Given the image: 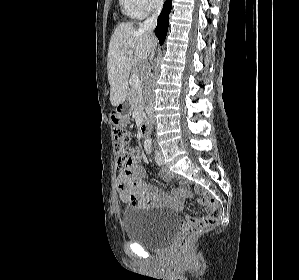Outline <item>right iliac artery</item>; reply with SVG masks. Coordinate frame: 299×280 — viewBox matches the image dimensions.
I'll return each instance as SVG.
<instances>
[{"label":"right iliac artery","mask_w":299,"mask_h":280,"mask_svg":"<svg viewBox=\"0 0 299 280\" xmlns=\"http://www.w3.org/2000/svg\"><path fill=\"white\" fill-rule=\"evenodd\" d=\"M144 147H145L146 152H147L148 154H150L151 151H152V142H151L150 139L145 140V142H144Z\"/></svg>","instance_id":"1"}]
</instances>
